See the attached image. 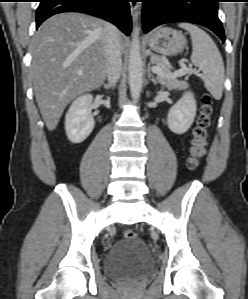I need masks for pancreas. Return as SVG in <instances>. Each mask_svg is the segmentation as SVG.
<instances>
[{"mask_svg":"<svg viewBox=\"0 0 248 299\" xmlns=\"http://www.w3.org/2000/svg\"><path fill=\"white\" fill-rule=\"evenodd\" d=\"M151 61L153 64H155L156 67H160L164 73V75L157 74V79L162 85L168 87L169 89H185L188 87L186 81H180L177 79V77H170V68L163 58L157 55H152Z\"/></svg>","mask_w":248,"mask_h":299,"instance_id":"pancreas-1","label":"pancreas"}]
</instances>
